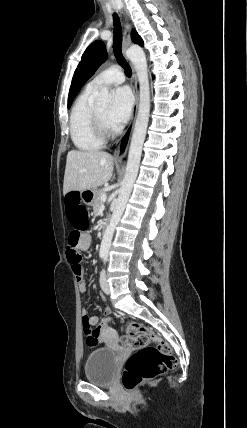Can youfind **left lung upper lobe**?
Masks as SVG:
<instances>
[{"label": "left lung upper lobe", "mask_w": 247, "mask_h": 428, "mask_svg": "<svg viewBox=\"0 0 247 428\" xmlns=\"http://www.w3.org/2000/svg\"><path fill=\"white\" fill-rule=\"evenodd\" d=\"M132 41L143 46V41L138 33L133 30L131 33ZM107 59L105 44L97 40L93 42L83 53L81 62L74 72L72 84L69 90L68 108L85 82L95 73L98 67Z\"/></svg>", "instance_id": "5c2ea615"}]
</instances>
